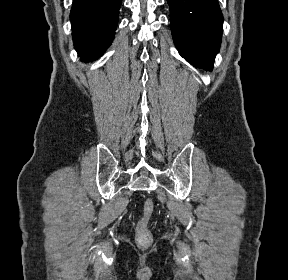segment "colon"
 Listing matches in <instances>:
<instances>
[{
	"mask_svg": "<svg viewBox=\"0 0 288 280\" xmlns=\"http://www.w3.org/2000/svg\"><path fill=\"white\" fill-rule=\"evenodd\" d=\"M154 202L147 199L143 206V214L136 226V241L140 246H148L152 241V234L148 222L154 211Z\"/></svg>",
	"mask_w": 288,
	"mask_h": 280,
	"instance_id": "1",
	"label": "colon"
}]
</instances>
